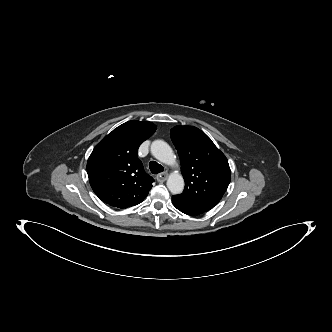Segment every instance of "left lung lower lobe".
Instances as JSON below:
<instances>
[{
  "instance_id": "1",
  "label": "left lung lower lobe",
  "mask_w": 332,
  "mask_h": 332,
  "mask_svg": "<svg viewBox=\"0 0 332 332\" xmlns=\"http://www.w3.org/2000/svg\"><path fill=\"white\" fill-rule=\"evenodd\" d=\"M172 202L173 205L181 212L187 214V215H198L204 213V211L193 208L182 201L176 199L174 196H172Z\"/></svg>"
}]
</instances>
